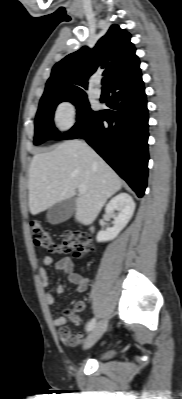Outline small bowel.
<instances>
[{"instance_id": "c3829d8e", "label": "small bowel", "mask_w": 182, "mask_h": 399, "mask_svg": "<svg viewBox=\"0 0 182 399\" xmlns=\"http://www.w3.org/2000/svg\"><path fill=\"white\" fill-rule=\"evenodd\" d=\"M54 263L53 257L47 255L43 258V266L40 267L39 273L42 279V285L44 288L49 287V278H48V271L47 267L51 266ZM55 268L57 270L63 271L66 274L67 280L75 286V290L77 293H82L86 291L88 287V280L84 275V267L81 266L80 272H76L74 270L73 262L70 258L64 257L58 260L55 263ZM65 291L62 285H57L54 288V291L47 289L45 292V301L48 305H53L55 303V296L56 294H63ZM75 309L80 311L84 308L83 302H78L74 305ZM67 320L64 316H59L53 319V325L58 327L59 334L63 338V340L69 346H77L79 345L83 339L84 335L82 333L72 334L71 330L66 326Z\"/></svg>"}]
</instances>
